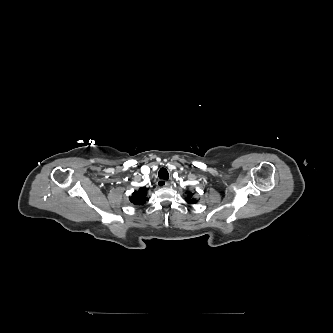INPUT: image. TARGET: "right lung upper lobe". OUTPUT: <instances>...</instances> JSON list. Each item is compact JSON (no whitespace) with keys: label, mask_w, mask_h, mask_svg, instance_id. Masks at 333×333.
I'll return each instance as SVG.
<instances>
[{"label":"right lung upper lobe","mask_w":333,"mask_h":333,"mask_svg":"<svg viewBox=\"0 0 333 333\" xmlns=\"http://www.w3.org/2000/svg\"><path fill=\"white\" fill-rule=\"evenodd\" d=\"M130 202L136 205H143L147 199V188H140L138 191H134L132 196L129 198Z\"/></svg>","instance_id":"right-lung-upper-lobe-1"}]
</instances>
